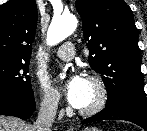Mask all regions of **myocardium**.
<instances>
[{"mask_svg": "<svg viewBox=\"0 0 147 131\" xmlns=\"http://www.w3.org/2000/svg\"><path fill=\"white\" fill-rule=\"evenodd\" d=\"M87 81L95 88L96 101L87 108H79L78 113L82 116H93L101 112L107 105L109 99L108 88L104 80L97 75H90Z\"/></svg>", "mask_w": 147, "mask_h": 131, "instance_id": "1", "label": "myocardium"}]
</instances>
